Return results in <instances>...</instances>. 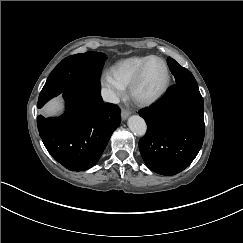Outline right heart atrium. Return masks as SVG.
<instances>
[{"label":"right heart atrium","instance_id":"d8ad5b80","mask_svg":"<svg viewBox=\"0 0 243 243\" xmlns=\"http://www.w3.org/2000/svg\"><path fill=\"white\" fill-rule=\"evenodd\" d=\"M98 82L100 94L104 101L117 104L127 97V90L119 81L112 66L101 69Z\"/></svg>","mask_w":243,"mask_h":243}]
</instances>
